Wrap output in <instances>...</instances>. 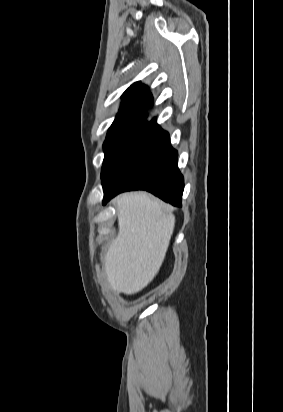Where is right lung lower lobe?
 I'll return each instance as SVG.
<instances>
[{"label": "right lung lower lobe", "mask_w": 283, "mask_h": 412, "mask_svg": "<svg viewBox=\"0 0 283 412\" xmlns=\"http://www.w3.org/2000/svg\"><path fill=\"white\" fill-rule=\"evenodd\" d=\"M152 128L102 179L103 204L124 191L147 190L174 206H181L184 179L177 166L178 153L171 147L166 131L156 123Z\"/></svg>", "instance_id": "1"}]
</instances>
